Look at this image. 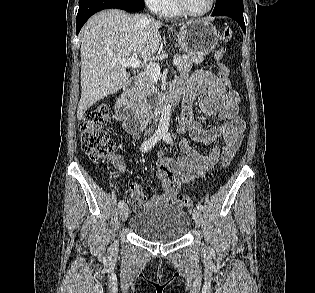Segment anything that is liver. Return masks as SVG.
Listing matches in <instances>:
<instances>
[{"label":"liver","mask_w":315,"mask_h":293,"mask_svg":"<svg viewBox=\"0 0 315 293\" xmlns=\"http://www.w3.org/2000/svg\"><path fill=\"white\" fill-rule=\"evenodd\" d=\"M161 26L145 15L116 9L101 11L87 21L81 31L79 120L98 100L113 95L127 83L130 75L119 58L141 55L147 60L158 51Z\"/></svg>","instance_id":"obj_1"}]
</instances>
